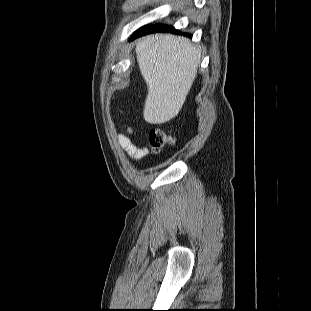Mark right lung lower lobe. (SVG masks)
<instances>
[{"mask_svg":"<svg viewBox=\"0 0 311 311\" xmlns=\"http://www.w3.org/2000/svg\"><path fill=\"white\" fill-rule=\"evenodd\" d=\"M155 32H174L175 34H183L184 36L191 37L190 34L181 33L175 30L173 27H169L167 25H150L144 26L139 29L138 36L155 33Z\"/></svg>","mask_w":311,"mask_h":311,"instance_id":"right-lung-lower-lobe-1","label":"right lung lower lobe"}]
</instances>
